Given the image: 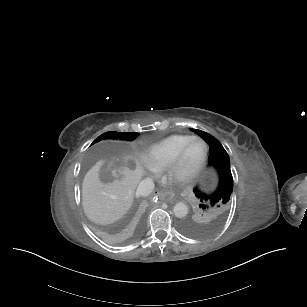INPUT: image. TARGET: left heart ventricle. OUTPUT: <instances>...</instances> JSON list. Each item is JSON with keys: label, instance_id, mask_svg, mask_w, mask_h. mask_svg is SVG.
Returning <instances> with one entry per match:
<instances>
[{"label": "left heart ventricle", "instance_id": "obj_1", "mask_svg": "<svg viewBox=\"0 0 307 307\" xmlns=\"http://www.w3.org/2000/svg\"><path fill=\"white\" fill-rule=\"evenodd\" d=\"M204 145L199 141L192 142L187 148L185 159L181 167L174 173L173 178L181 177L186 171L196 166L204 154Z\"/></svg>", "mask_w": 307, "mask_h": 307}]
</instances>
